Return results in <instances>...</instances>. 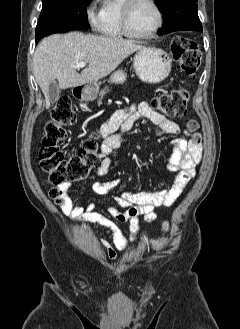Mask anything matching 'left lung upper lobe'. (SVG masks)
<instances>
[{"mask_svg":"<svg viewBox=\"0 0 240 329\" xmlns=\"http://www.w3.org/2000/svg\"><path fill=\"white\" fill-rule=\"evenodd\" d=\"M163 14V28L158 35L178 30L202 31L197 0H155Z\"/></svg>","mask_w":240,"mask_h":329,"instance_id":"5c2ea615","label":"left lung upper lobe"}]
</instances>
